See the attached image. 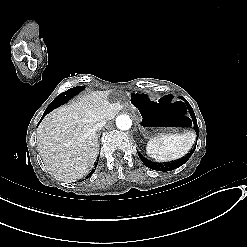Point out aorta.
<instances>
[{
	"mask_svg": "<svg viewBox=\"0 0 247 247\" xmlns=\"http://www.w3.org/2000/svg\"><path fill=\"white\" fill-rule=\"evenodd\" d=\"M116 126L120 130H129L132 126V120L128 115H120L116 118Z\"/></svg>",
	"mask_w": 247,
	"mask_h": 247,
	"instance_id": "1",
	"label": "aorta"
}]
</instances>
